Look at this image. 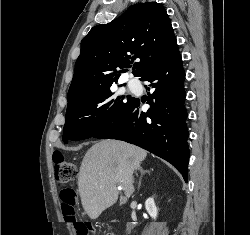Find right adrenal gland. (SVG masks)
I'll use <instances>...</instances> for the list:
<instances>
[{"mask_svg":"<svg viewBox=\"0 0 250 235\" xmlns=\"http://www.w3.org/2000/svg\"><path fill=\"white\" fill-rule=\"evenodd\" d=\"M139 171H140V178H139V183H138V190L140 189V186H141V181H142V177L144 174L146 173H150V170H144L142 167L139 168Z\"/></svg>","mask_w":250,"mask_h":235,"instance_id":"obj_1","label":"right adrenal gland"}]
</instances>
